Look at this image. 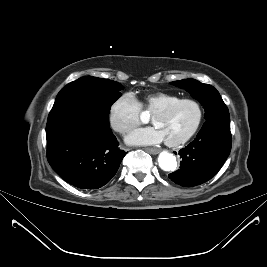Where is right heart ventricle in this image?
<instances>
[{"instance_id":"right-heart-ventricle-1","label":"right heart ventricle","mask_w":267,"mask_h":267,"mask_svg":"<svg viewBox=\"0 0 267 267\" xmlns=\"http://www.w3.org/2000/svg\"><path fill=\"white\" fill-rule=\"evenodd\" d=\"M180 99L179 96L171 93L156 92L148 94L145 96L142 106L149 112H154L155 110Z\"/></svg>"}]
</instances>
